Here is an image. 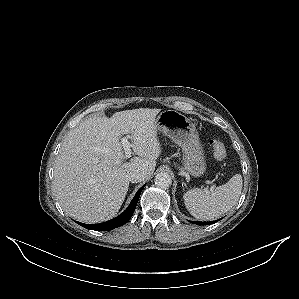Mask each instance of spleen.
<instances>
[{"label": "spleen", "mask_w": 299, "mask_h": 299, "mask_svg": "<svg viewBox=\"0 0 299 299\" xmlns=\"http://www.w3.org/2000/svg\"><path fill=\"white\" fill-rule=\"evenodd\" d=\"M242 176L235 174L226 184L216 187L212 192L191 189L184 193L183 199L189 213L197 219L217 218L237 203L242 190Z\"/></svg>", "instance_id": "spleen-1"}]
</instances>
